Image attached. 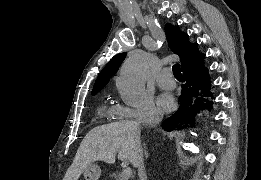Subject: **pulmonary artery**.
<instances>
[{
	"instance_id": "obj_1",
	"label": "pulmonary artery",
	"mask_w": 261,
	"mask_h": 180,
	"mask_svg": "<svg viewBox=\"0 0 261 180\" xmlns=\"http://www.w3.org/2000/svg\"><path fill=\"white\" fill-rule=\"evenodd\" d=\"M156 82L158 86L163 89H173L175 87V82L172 79V72L169 68H165L160 72Z\"/></svg>"
}]
</instances>
